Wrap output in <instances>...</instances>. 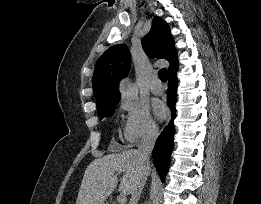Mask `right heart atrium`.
Instances as JSON below:
<instances>
[{"mask_svg": "<svg viewBox=\"0 0 261 204\" xmlns=\"http://www.w3.org/2000/svg\"><path fill=\"white\" fill-rule=\"evenodd\" d=\"M119 108L125 113L122 136L128 146H134L140 141L156 137L158 126L145 103L138 100L123 99Z\"/></svg>", "mask_w": 261, "mask_h": 204, "instance_id": "1", "label": "right heart atrium"}]
</instances>
